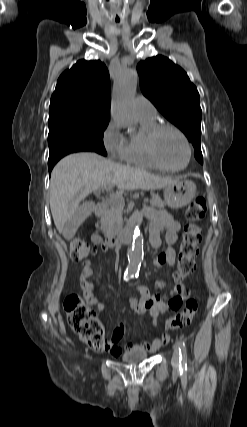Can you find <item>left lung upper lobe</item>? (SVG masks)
Returning a JSON list of instances; mask_svg holds the SVG:
<instances>
[{
	"mask_svg": "<svg viewBox=\"0 0 247 427\" xmlns=\"http://www.w3.org/2000/svg\"><path fill=\"white\" fill-rule=\"evenodd\" d=\"M137 71L143 94L183 131L195 148V158L203 163L200 97L186 72L161 55L141 61Z\"/></svg>",
	"mask_w": 247,
	"mask_h": 427,
	"instance_id": "obj_1",
	"label": "left lung upper lobe"
}]
</instances>
